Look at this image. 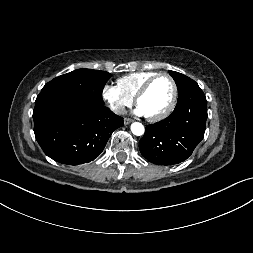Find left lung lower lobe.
Instances as JSON below:
<instances>
[{
    "label": "left lung lower lobe",
    "mask_w": 253,
    "mask_h": 253,
    "mask_svg": "<svg viewBox=\"0 0 253 253\" xmlns=\"http://www.w3.org/2000/svg\"><path fill=\"white\" fill-rule=\"evenodd\" d=\"M207 100L197 83L178 97L173 113L147 125L139 141L141 154L157 165H173L191 156L204 137Z\"/></svg>",
    "instance_id": "1"
}]
</instances>
